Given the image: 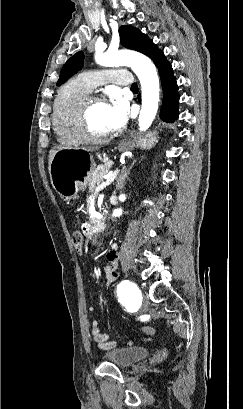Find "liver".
<instances>
[{
	"instance_id": "liver-1",
	"label": "liver",
	"mask_w": 243,
	"mask_h": 409,
	"mask_svg": "<svg viewBox=\"0 0 243 409\" xmlns=\"http://www.w3.org/2000/svg\"><path fill=\"white\" fill-rule=\"evenodd\" d=\"M61 149H65V148H63V147H53L51 150H50V152H49V169H50V164H51V161H52V159H53V157H54V155H55V153L58 151V150H61ZM81 150H83V151H85V152H93V151H95V150H98V147H83V148H80Z\"/></svg>"
}]
</instances>
